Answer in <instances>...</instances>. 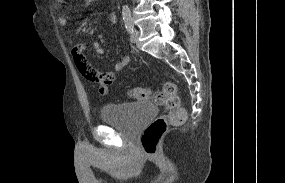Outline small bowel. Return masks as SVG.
I'll return each instance as SVG.
<instances>
[{"mask_svg":"<svg viewBox=\"0 0 285 183\" xmlns=\"http://www.w3.org/2000/svg\"><path fill=\"white\" fill-rule=\"evenodd\" d=\"M59 2H62V0H59ZM113 20H115L114 17H113ZM59 23L61 26H66L67 18L65 16H60ZM93 49L99 55H102L104 53V48L99 42L93 43ZM85 50H86V46L82 43L76 44L73 47L72 53H73L76 65L78 63H85L89 66L94 78L88 79V80L97 83L99 85V88H98L99 94L102 96H105L108 93V87L114 81L115 74L121 71L129 63L130 58L129 56L126 55L119 62L115 64L113 71L101 72L92 67L91 63L89 62V60L87 59L85 55Z\"/></svg>","mask_w":285,"mask_h":183,"instance_id":"c3829d8e","label":"small bowel"}]
</instances>
